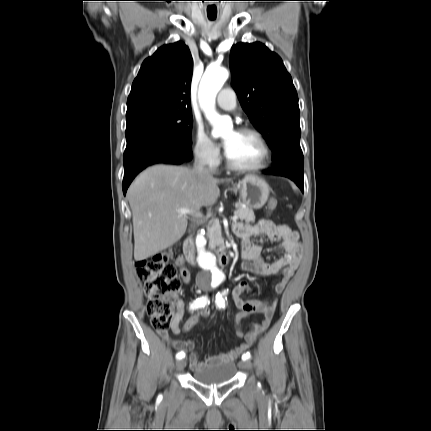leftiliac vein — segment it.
Instances as JSON below:
<instances>
[{
    "mask_svg": "<svg viewBox=\"0 0 431 431\" xmlns=\"http://www.w3.org/2000/svg\"><path fill=\"white\" fill-rule=\"evenodd\" d=\"M240 365H241L242 368H244V369H246L248 371H252V363L250 362V360H248V359L243 360L240 363Z\"/></svg>",
    "mask_w": 431,
    "mask_h": 431,
    "instance_id": "1",
    "label": "left iliac vein"
}]
</instances>
